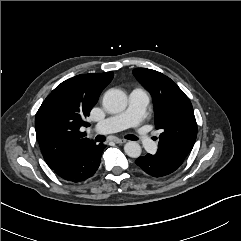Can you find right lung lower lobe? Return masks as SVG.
Returning <instances> with one entry per match:
<instances>
[{
	"instance_id": "98d812e1",
	"label": "right lung lower lobe",
	"mask_w": 241,
	"mask_h": 241,
	"mask_svg": "<svg viewBox=\"0 0 241 241\" xmlns=\"http://www.w3.org/2000/svg\"><path fill=\"white\" fill-rule=\"evenodd\" d=\"M106 146L91 144L86 148H75L64 155L51 169L66 181L80 182L94 175Z\"/></svg>"
}]
</instances>
